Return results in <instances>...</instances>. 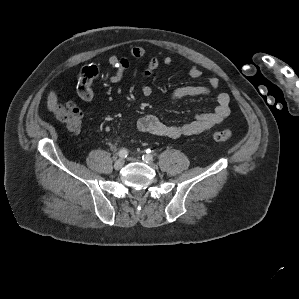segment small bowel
<instances>
[{"label": "small bowel", "mask_w": 299, "mask_h": 299, "mask_svg": "<svg viewBox=\"0 0 299 299\" xmlns=\"http://www.w3.org/2000/svg\"><path fill=\"white\" fill-rule=\"evenodd\" d=\"M129 55L133 58H142L147 55V50L144 47L136 46L130 49ZM172 62V58L169 56L160 58L151 57L142 75L144 78H148L161 65L169 66ZM109 64L113 68V73L109 77L110 82H120L124 78L125 72L129 67V58L126 56L112 55L109 58ZM98 74L99 69L95 65H89L82 69L77 86V96L79 99L84 102L92 101L94 97L92 82ZM188 75L191 78H199L202 76V71L197 66H191L188 69ZM218 86L219 80L216 77H212L208 80L207 85H189L175 89L172 93V99L180 100L188 97L208 95L216 90ZM141 93L143 96L149 97L152 94V88L148 84H142ZM215 102L216 105L212 111L200 113L187 123L181 125H169L164 123L156 115L148 114L139 118L137 121V128L144 133L168 138H179L181 136L200 134L221 123L230 115V98L227 93H217Z\"/></svg>", "instance_id": "c3829d8e"}]
</instances>
